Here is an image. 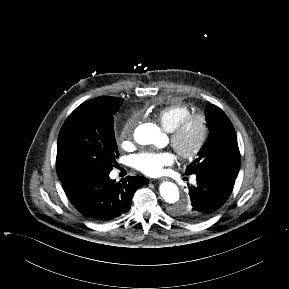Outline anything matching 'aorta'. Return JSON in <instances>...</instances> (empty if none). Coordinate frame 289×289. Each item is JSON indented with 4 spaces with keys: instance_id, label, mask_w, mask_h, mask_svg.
<instances>
[{
    "instance_id": "762f6f07",
    "label": "aorta",
    "mask_w": 289,
    "mask_h": 289,
    "mask_svg": "<svg viewBox=\"0 0 289 289\" xmlns=\"http://www.w3.org/2000/svg\"><path fill=\"white\" fill-rule=\"evenodd\" d=\"M162 135L159 128L154 124L140 125L135 133L134 138L141 145L158 144ZM160 194L165 202L173 205V212L186 209L189 203L187 201L180 202V193L176 184L172 182H163L160 185Z\"/></svg>"
}]
</instances>
